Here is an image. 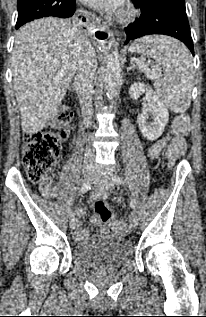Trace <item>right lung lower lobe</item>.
Listing matches in <instances>:
<instances>
[{
  "instance_id": "right-lung-lower-lobe-1",
  "label": "right lung lower lobe",
  "mask_w": 206,
  "mask_h": 317,
  "mask_svg": "<svg viewBox=\"0 0 206 317\" xmlns=\"http://www.w3.org/2000/svg\"><path fill=\"white\" fill-rule=\"evenodd\" d=\"M57 11V17L66 18L72 16L75 11V0H70V2H64L63 4H60L57 8Z\"/></svg>"
}]
</instances>
